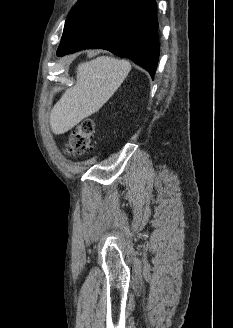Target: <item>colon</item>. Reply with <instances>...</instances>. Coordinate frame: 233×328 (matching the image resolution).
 Wrapping results in <instances>:
<instances>
[{
	"label": "colon",
	"mask_w": 233,
	"mask_h": 328,
	"mask_svg": "<svg viewBox=\"0 0 233 328\" xmlns=\"http://www.w3.org/2000/svg\"><path fill=\"white\" fill-rule=\"evenodd\" d=\"M94 122L84 119L67 135L65 151L72 156L85 154L93 148Z\"/></svg>",
	"instance_id": "1"
}]
</instances>
